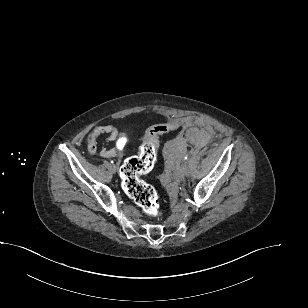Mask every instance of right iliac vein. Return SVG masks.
Wrapping results in <instances>:
<instances>
[{"label":"right iliac vein","mask_w":308,"mask_h":308,"mask_svg":"<svg viewBox=\"0 0 308 308\" xmlns=\"http://www.w3.org/2000/svg\"><path fill=\"white\" fill-rule=\"evenodd\" d=\"M112 169H113V171L115 172V171L117 170V166H116V165H113V166H112Z\"/></svg>","instance_id":"63e3f726"}]
</instances>
